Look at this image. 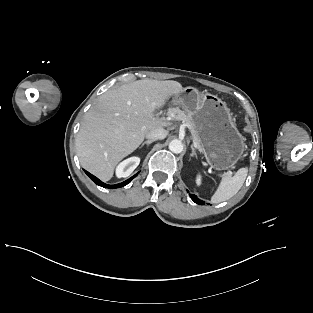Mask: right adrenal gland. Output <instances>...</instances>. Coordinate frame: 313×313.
I'll return each mask as SVG.
<instances>
[{
	"label": "right adrenal gland",
	"instance_id": "obj_1",
	"mask_svg": "<svg viewBox=\"0 0 313 313\" xmlns=\"http://www.w3.org/2000/svg\"><path fill=\"white\" fill-rule=\"evenodd\" d=\"M152 142H154V140H146V141H144V142L141 144L140 148H142L144 145H147V147H149V145H150Z\"/></svg>",
	"mask_w": 313,
	"mask_h": 313
}]
</instances>
